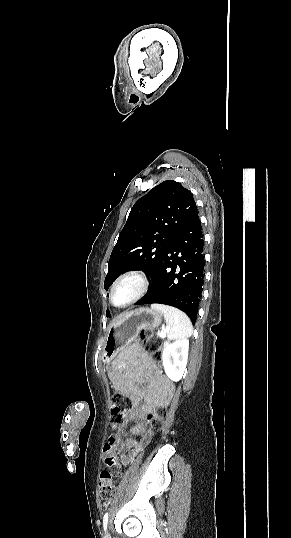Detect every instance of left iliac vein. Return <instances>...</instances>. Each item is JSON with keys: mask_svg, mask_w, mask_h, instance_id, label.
<instances>
[{"mask_svg": "<svg viewBox=\"0 0 291 538\" xmlns=\"http://www.w3.org/2000/svg\"><path fill=\"white\" fill-rule=\"evenodd\" d=\"M106 538H109L107 534H106Z\"/></svg>", "mask_w": 291, "mask_h": 538, "instance_id": "1", "label": "left iliac vein"}]
</instances>
